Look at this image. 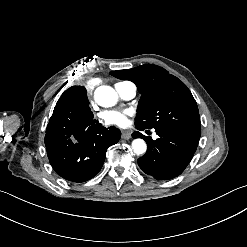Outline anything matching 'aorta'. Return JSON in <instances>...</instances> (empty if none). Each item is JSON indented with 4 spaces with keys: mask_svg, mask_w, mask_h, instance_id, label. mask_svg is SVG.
<instances>
[{
    "mask_svg": "<svg viewBox=\"0 0 247 247\" xmlns=\"http://www.w3.org/2000/svg\"><path fill=\"white\" fill-rule=\"evenodd\" d=\"M95 101L102 107H111L117 103L118 95L110 86H99L94 93ZM132 149L137 154H143L147 150V145L143 139H135L132 142Z\"/></svg>",
    "mask_w": 247,
    "mask_h": 247,
    "instance_id": "762f6f07",
    "label": "aorta"
}]
</instances>
